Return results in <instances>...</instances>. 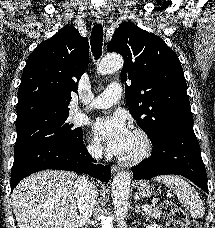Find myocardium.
Returning <instances> with one entry per match:
<instances>
[{
  "mask_svg": "<svg viewBox=\"0 0 215 228\" xmlns=\"http://www.w3.org/2000/svg\"><path fill=\"white\" fill-rule=\"evenodd\" d=\"M139 139L141 146L139 150L129 156H122L119 158V162L123 165H136L145 160L152 152V142L148 133L142 128H135L133 131Z\"/></svg>",
  "mask_w": 215,
  "mask_h": 228,
  "instance_id": "1",
  "label": "myocardium"
}]
</instances>
